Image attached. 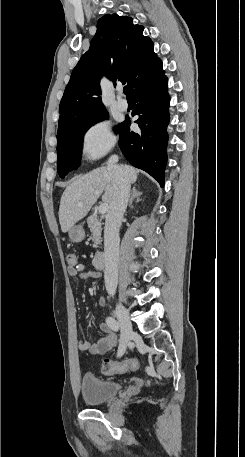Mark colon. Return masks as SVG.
I'll return each mask as SVG.
<instances>
[{"instance_id":"1","label":"colon","mask_w":245,"mask_h":457,"mask_svg":"<svg viewBox=\"0 0 245 457\" xmlns=\"http://www.w3.org/2000/svg\"><path fill=\"white\" fill-rule=\"evenodd\" d=\"M67 262L71 268L78 267V261L75 254L67 256ZM140 367V363L136 358H128L120 361L106 359L102 364V371L106 375L122 374L129 371H135Z\"/></svg>"}]
</instances>
